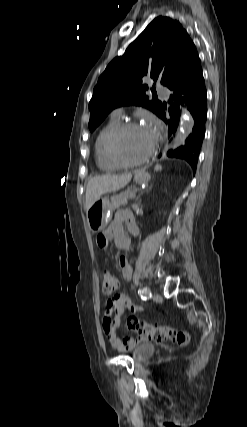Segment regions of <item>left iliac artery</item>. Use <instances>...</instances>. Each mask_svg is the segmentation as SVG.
Listing matches in <instances>:
<instances>
[{"instance_id":"left-iliac-artery-1","label":"left iliac artery","mask_w":247,"mask_h":427,"mask_svg":"<svg viewBox=\"0 0 247 427\" xmlns=\"http://www.w3.org/2000/svg\"><path fill=\"white\" fill-rule=\"evenodd\" d=\"M138 293L141 295V298L144 299V300L152 297V294H151L150 290L147 287H144V288L140 289L138 291Z\"/></svg>"}]
</instances>
